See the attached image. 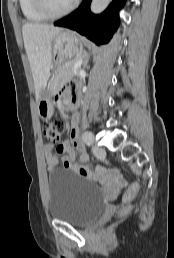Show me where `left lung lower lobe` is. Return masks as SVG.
Wrapping results in <instances>:
<instances>
[{
  "label": "left lung lower lobe",
  "instance_id": "1",
  "mask_svg": "<svg viewBox=\"0 0 174 258\" xmlns=\"http://www.w3.org/2000/svg\"><path fill=\"white\" fill-rule=\"evenodd\" d=\"M92 0H83L78 9L58 20L55 26L66 27L86 36L97 45L109 42L119 26L118 11L125 0H113L110 6L100 15L90 11Z\"/></svg>",
  "mask_w": 174,
  "mask_h": 258
}]
</instances>
